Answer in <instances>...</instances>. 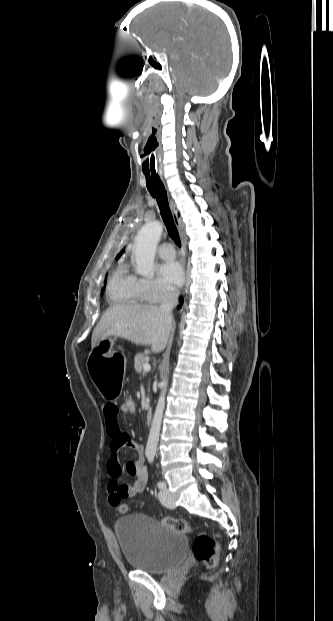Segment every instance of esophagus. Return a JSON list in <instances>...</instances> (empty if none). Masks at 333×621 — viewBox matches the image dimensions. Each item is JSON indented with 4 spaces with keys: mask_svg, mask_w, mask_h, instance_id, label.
<instances>
[{
    "mask_svg": "<svg viewBox=\"0 0 333 621\" xmlns=\"http://www.w3.org/2000/svg\"><path fill=\"white\" fill-rule=\"evenodd\" d=\"M170 208H171V210H172V213H173V216H174V219H175L176 226H177V228H178V231H179L180 236H181V238H182V241H183V243H184V242H185V238H184V231H183V228H184V227H183V223H182V221H181V218H180L179 212H178V210H177V208H176V206H175L174 202L172 201V199H170Z\"/></svg>",
    "mask_w": 333,
    "mask_h": 621,
    "instance_id": "esophagus-1",
    "label": "esophagus"
}]
</instances>
